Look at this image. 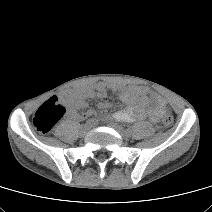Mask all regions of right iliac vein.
<instances>
[{"label": "right iliac vein", "instance_id": "right-iliac-vein-1", "mask_svg": "<svg viewBox=\"0 0 212 212\" xmlns=\"http://www.w3.org/2000/svg\"><path fill=\"white\" fill-rule=\"evenodd\" d=\"M90 128H91V126L88 124L83 125L80 129V134L85 135L90 130Z\"/></svg>", "mask_w": 212, "mask_h": 212}]
</instances>
